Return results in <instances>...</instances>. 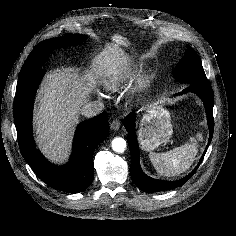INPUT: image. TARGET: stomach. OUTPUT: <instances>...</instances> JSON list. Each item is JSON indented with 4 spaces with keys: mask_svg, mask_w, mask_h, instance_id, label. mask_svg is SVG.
I'll use <instances>...</instances> for the list:
<instances>
[{
    "mask_svg": "<svg viewBox=\"0 0 236 236\" xmlns=\"http://www.w3.org/2000/svg\"><path fill=\"white\" fill-rule=\"evenodd\" d=\"M115 41L123 42L119 36H115ZM172 133L170 112L161 106L153 107L141 120L138 130L140 146L145 151H152L159 145L168 142Z\"/></svg>",
    "mask_w": 236,
    "mask_h": 236,
    "instance_id": "0dacf381",
    "label": "stomach"
}]
</instances>
